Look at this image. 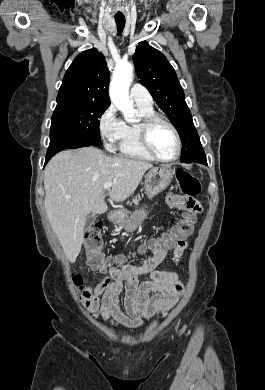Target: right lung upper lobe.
Instances as JSON below:
<instances>
[{
  "label": "right lung upper lobe",
  "mask_w": 265,
  "mask_h": 390,
  "mask_svg": "<svg viewBox=\"0 0 265 390\" xmlns=\"http://www.w3.org/2000/svg\"><path fill=\"white\" fill-rule=\"evenodd\" d=\"M109 71L105 57L96 49L80 53L65 73L57 102L91 101L110 105Z\"/></svg>",
  "instance_id": "1"
}]
</instances>
